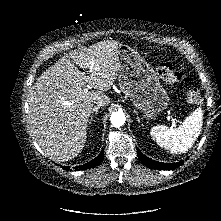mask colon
<instances>
[{
  "instance_id": "colon-1",
  "label": "colon",
  "mask_w": 221,
  "mask_h": 221,
  "mask_svg": "<svg viewBox=\"0 0 221 221\" xmlns=\"http://www.w3.org/2000/svg\"><path fill=\"white\" fill-rule=\"evenodd\" d=\"M157 74L164 81L169 83L182 82L184 84H190L191 79L182 75L175 66L170 62H163L157 66ZM201 92L199 88L191 85L186 93V99L191 104H197L201 101Z\"/></svg>"
}]
</instances>
